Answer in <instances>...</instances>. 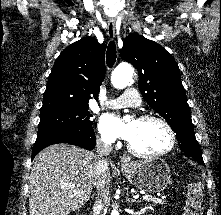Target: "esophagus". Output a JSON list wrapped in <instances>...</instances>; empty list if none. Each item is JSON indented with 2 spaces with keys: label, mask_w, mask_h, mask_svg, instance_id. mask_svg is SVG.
I'll return each instance as SVG.
<instances>
[{
  "label": "esophagus",
  "mask_w": 221,
  "mask_h": 215,
  "mask_svg": "<svg viewBox=\"0 0 221 215\" xmlns=\"http://www.w3.org/2000/svg\"><path fill=\"white\" fill-rule=\"evenodd\" d=\"M107 35L109 37L110 40H114L115 39V24L113 20H109L108 21V26H107ZM130 161V158L128 156H123L121 157V163L123 165L128 164Z\"/></svg>",
  "instance_id": "esophagus-1"
}]
</instances>
